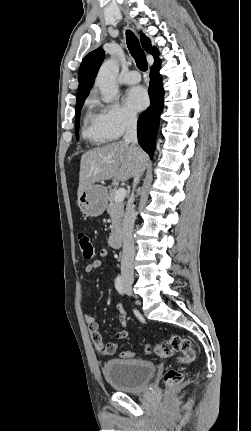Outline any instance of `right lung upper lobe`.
Here are the masks:
<instances>
[{
    "label": "right lung upper lobe",
    "mask_w": 251,
    "mask_h": 431,
    "mask_svg": "<svg viewBox=\"0 0 251 431\" xmlns=\"http://www.w3.org/2000/svg\"><path fill=\"white\" fill-rule=\"evenodd\" d=\"M140 40L143 49L152 54L154 57V61L158 60V49L156 47H152L151 40L146 37L143 33L140 34ZM105 52L102 48H98L89 54H87L84 59L82 60V63L80 65L79 71H78V92L76 95V100L86 98L89 94L90 89L92 88L94 84L95 77L97 75V72L104 60Z\"/></svg>",
    "instance_id": "right-lung-upper-lobe-1"
}]
</instances>
